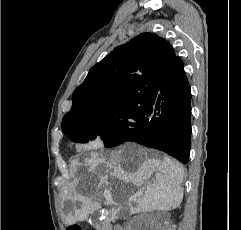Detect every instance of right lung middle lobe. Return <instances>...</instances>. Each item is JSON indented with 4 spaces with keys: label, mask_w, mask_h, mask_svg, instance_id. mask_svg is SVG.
<instances>
[{
    "label": "right lung middle lobe",
    "mask_w": 241,
    "mask_h": 230,
    "mask_svg": "<svg viewBox=\"0 0 241 230\" xmlns=\"http://www.w3.org/2000/svg\"><path fill=\"white\" fill-rule=\"evenodd\" d=\"M147 103L134 108L113 109L106 118L79 122L65 134L78 143H86L99 135L106 147L117 146L124 143L131 134L140 133L147 127Z\"/></svg>",
    "instance_id": "right-lung-middle-lobe-1"
}]
</instances>
